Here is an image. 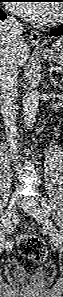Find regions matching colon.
Wrapping results in <instances>:
<instances>
[{
	"label": "colon",
	"mask_w": 63,
	"mask_h": 297,
	"mask_svg": "<svg viewBox=\"0 0 63 297\" xmlns=\"http://www.w3.org/2000/svg\"><path fill=\"white\" fill-rule=\"evenodd\" d=\"M19 252L34 262H43L46 257L44 242L33 235H20L18 237Z\"/></svg>",
	"instance_id": "colon-1"
}]
</instances>
